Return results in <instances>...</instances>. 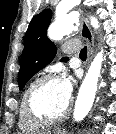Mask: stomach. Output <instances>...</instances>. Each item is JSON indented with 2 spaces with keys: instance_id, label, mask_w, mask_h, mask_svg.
I'll return each mask as SVG.
<instances>
[{
  "instance_id": "obj_1",
  "label": "stomach",
  "mask_w": 116,
  "mask_h": 134,
  "mask_svg": "<svg viewBox=\"0 0 116 134\" xmlns=\"http://www.w3.org/2000/svg\"><path fill=\"white\" fill-rule=\"evenodd\" d=\"M54 134H64V133L61 132V131H57V132H55Z\"/></svg>"
}]
</instances>
